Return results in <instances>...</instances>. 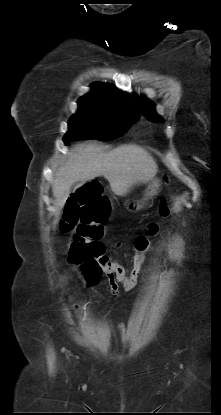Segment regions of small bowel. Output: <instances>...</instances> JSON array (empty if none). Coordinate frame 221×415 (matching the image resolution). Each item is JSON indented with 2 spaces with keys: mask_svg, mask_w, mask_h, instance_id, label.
<instances>
[{
  "mask_svg": "<svg viewBox=\"0 0 221 415\" xmlns=\"http://www.w3.org/2000/svg\"><path fill=\"white\" fill-rule=\"evenodd\" d=\"M129 273V272H128ZM120 284L117 283H109V291L112 295H117L119 292Z\"/></svg>",
  "mask_w": 221,
  "mask_h": 415,
  "instance_id": "1",
  "label": "small bowel"
}]
</instances>
